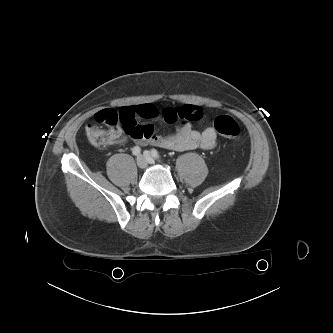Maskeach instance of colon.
I'll return each mask as SVG.
<instances>
[{"label": "colon", "mask_w": 333, "mask_h": 333, "mask_svg": "<svg viewBox=\"0 0 333 333\" xmlns=\"http://www.w3.org/2000/svg\"><path fill=\"white\" fill-rule=\"evenodd\" d=\"M95 121L108 127L104 129L97 125H88L85 129L88 141L96 147H103L112 144L114 132L123 131L133 133L137 130L138 123L132 108L120 110L105 109L95 115ZM214 129L226 138H237L241 128L235 119L228 115H220L214 120Z\"/></svg>", "instance_id": "obj_1"}]
</instances>
